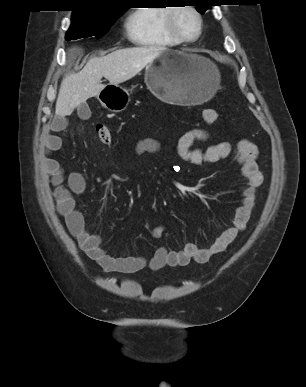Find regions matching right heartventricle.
Listing matches in <instances>:
<instances>
[{"label":"right heart ventricle","mask_w":306,"mask_h":387,"mask_svg":"<svg viewBox=\"0 0 306 387\" xmlns=\"http://www.w3.org/2000/svg\"><path fill=\"white\" fill-rule=\"evenodd\" d=\"M169 9V6H148L133 10L125 21L129 41L137 46L158 49L179 45L166 27Z\"/></svg>","instance_id":"e07e8e85"}]
</instances>
